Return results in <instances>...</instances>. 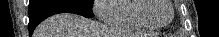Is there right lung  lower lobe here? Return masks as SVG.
I'll use <instances>...</instances> for the list:
<instances>
[{
	"instance_id": "obj_1",
	"label": "right lung lower lobe",
	"mask_w": 219,
	"mask_h": 37,
	"mask_svg": "<svg viewBox=\"0 0 219 37\" xmlns=\"http://www.w3.org/2000/svg\"><path fill=\"white\" fill-rule=\"evenodd\" d=\"M75 13L92 17V6L73 0H35L29 4V33L47 17L58 13Z\"/></svg>"
}]
</instances>
